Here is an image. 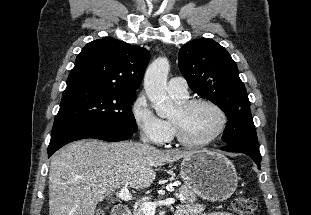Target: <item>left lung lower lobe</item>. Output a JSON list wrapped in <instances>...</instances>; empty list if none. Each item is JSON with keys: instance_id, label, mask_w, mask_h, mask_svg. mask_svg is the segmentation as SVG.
I'll return each instance as SVG.
<instances>
[{"instance_id": "0a47b994", "label": "left lung lower lobe", "mask_w": 311, "mask_h": 215, "mask_svg": "<svg viewBox=\"0 0 311 215\" xmlns=\"http://www.w3.org/2000/svg\"><path fill=\"white\" fill-rule=\"evenodd\" d=\"M221 150L230 152H241L247 154L254 160V162L258 165L259 169L261 167V154L258 148L242 144H231L222 147Z\"/></svg>"}]
</instances>
